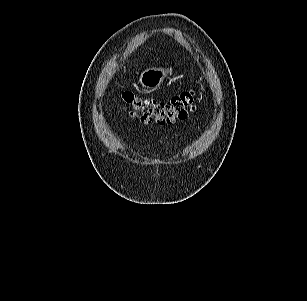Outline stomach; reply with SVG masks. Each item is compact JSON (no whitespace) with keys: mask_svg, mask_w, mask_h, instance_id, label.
Wrapping results in <instances>:
<instances>
[{"mask_svg":"<svg viewBox=\"0 0 307 301\" xmlns=\"http://www.w3.org/2000/svg\"><path fill=\"white\" fill-rule=\"evenodd\" d=\"M172 72V69L150 68L143 71L139 76V83L147 89H155L159 87L167 74Z\"/></svg>","mask_w":307,"mask_h":301,"instance_id":"obj_1","label":"stomach"}]
</instances>
